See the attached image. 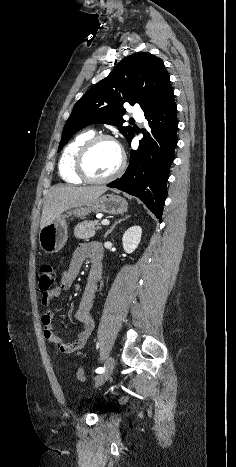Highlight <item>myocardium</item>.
Masks as SVG:
<instances>
[{
    "mask_svg": "<svg viewBox=\"0 0 236 467\" xmlns=\"http://www.w3.org/2000/svg\"><path fill=\"white\" fill-rule=\"evenodd\" d=\"M103 140L110 141L118 147L119 152H120V162H119L118 167L110 175L103 177V178H98V177H94L93 175H91L90 172L88 171L87 158H88L90 151L95 146V144ZM125 165H126V157H125L124 152L122 151L120 145L115 140V138L108 134L93 135L80 147L75 158L76 174L84 181L90 182V183H107V182H110L116 179L123 172Z\"/></svg>",
    "mask_w": 236,
    "mask_h": 467,
    "instance_id": "1",
    "label": "myocardium"
}]
</instances>
